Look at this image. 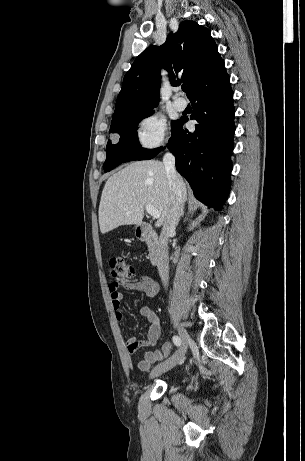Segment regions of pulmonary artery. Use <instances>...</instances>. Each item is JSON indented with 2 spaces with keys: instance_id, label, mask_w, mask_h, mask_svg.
<instances>
[{
  "instance_id": "pulmonary-artery-1",
  "label": "pulmonary artery",
  "mask_w": 305,
  "mask_h": 461,
  "mask_svg": "<svg viewBox=\"0 0 305 461\" xmlns=\"http://www.w3.org/2000/svg\"><path fill=\"white\" fill-rule=\"evenodd\" d=\"M173 106L176 110L178 111H183L185 110L186 106H187V101L182 98V97H178L174 100L173 102Z\"/></svg>"
}]
</instances>
